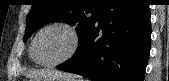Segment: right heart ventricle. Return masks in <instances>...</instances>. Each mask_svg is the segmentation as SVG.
Wrapping results in <instances>:
<instances>
[{
  "label": "right heart ventricle",
  "mask_w": 169,
  "mask_h": 81,
  "mask_svg": "<svg viewBox=\"0 0 169 81\" xmlns=\"http://www.w3.org/2000/svg\"><path fill=\"white\" fill-rule=\"evenodd\" d=\"M29 61H30L31 63H36L35 60H34L33 57H32V54H31V46H30V48H29Z\"/></svg>",
  "instance_id": "e07e8e85"
}]
</instances>
